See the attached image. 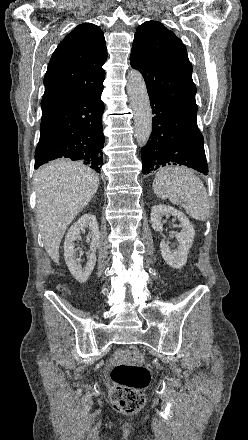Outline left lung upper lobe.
I'll use <instances>...</instances> for the list:
<instances>
[{
	"label": "left lung upper lobe",
	"mask_w": 248,
	"mask_h": 440,
	"mask_svg": "<svg viewBox=\"0 0 248 440\" xmlns=\"http://www.w3.org/2000/svg\"><path fill=\"white\" fill-rule=\"evenodd\" d=\"M130 64L154 95L188 119L197 122L196 87L185 45L164 25L148 21L135 33Z\"/></svg>",
	"instance_id": "obj_1"
}]
</instances>
